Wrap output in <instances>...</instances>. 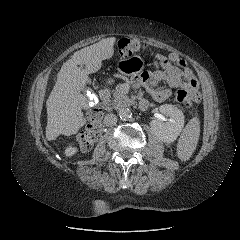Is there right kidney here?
<instances>
[{
    "mask_svg": "<svg viewBox=\"0 0 240 240\" xmlns=\"http://www.w3.org/2000/svg\"><path fill=\"white\" fill-rule=\"evenodd\" d=\"M77 152H78V149H77L76 147L70 146V147H67V148L65 149L64 154H65V156H67V157H71V156H73L74 154H76Z\"/></svg>",
    "mask_w": 240,
    "mask_h": 240,
    "instance_id": "ca27d5eb",
    "label": "right kidney"
}]
</instances>
